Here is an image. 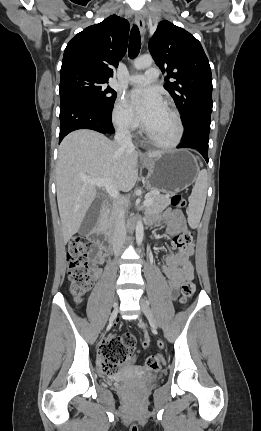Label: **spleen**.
Here are the masks:
<instances>
[{
  "label": "spleen",
  "mask_w": 261,
  "mask_h": 431,
  "mask_svg": "<svg viewBox=\"0 0 261 431\" xmlns=\"http://www.w3.org/2000/svg\"><path fill=\"white\" fill-rule=\"evenodd\" d=\"M202 165V164H201ZM208 187L207 172H199L192 193L189 197V209L192 214L200 217L203 213Z\"/></svg>",
  "instance_id": "spleen-1"
}]
</instances>
